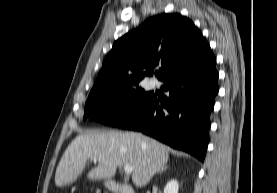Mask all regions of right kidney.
Masks as SVG:
<instances>
[{
  "label": "right kidney",
  "mask_w": 277,
  "mask_h": 193,
  "mask_svg": "<svg viewBox=\"0 0 277 193\" xmlns=\"http://www.w3.org/2000/svg\"><path fill=\"white\" fill-rule=\"evenodd\" d=\"M179 184L177 180H170L164 188V193H178Z\"/></svg>",
  "instance_id": "right-kidney-1"
}]
</instances>
